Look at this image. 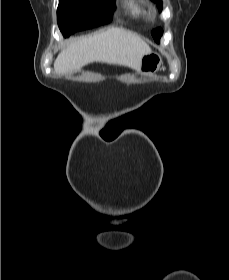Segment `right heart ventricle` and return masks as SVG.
<instances>
[{"label":"right heart ventricle","mask_w":229,"mask_h":280,"mask_svg":"<svg viewBox=\"0 0 229 280\" xmlns=\"http://www.w3.org/2000/svg\"><path fill=\"white\" fill-rule=\"evenodd\" d=\"M125 8L133 18H140L146 15L145 5L142 0H127Z\"/></svg>","instance_id":"1"}]
</instances>
